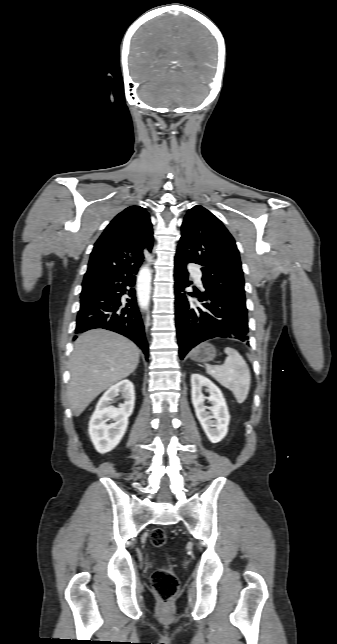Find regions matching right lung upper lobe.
Masks as SVG:
<instances>
[{
	"label": "right lung upper lobe",
	"instance_id": "1",
	"mask_svg": "<svg viewBox=\"0 0 337 644\" xmlns=\"http://www.w3.org/2000/svg\"><path fill=\"white\" fill-rule=\"evenodd\" d=\"M153 244L152 224L148 212L130 206L106 227L94 245L83 284H95L108 274L129 265L141 264L143 249Z\"/></svg>",
	"mask_w": 337,
	"mask_h": 644
}]
</instances>
